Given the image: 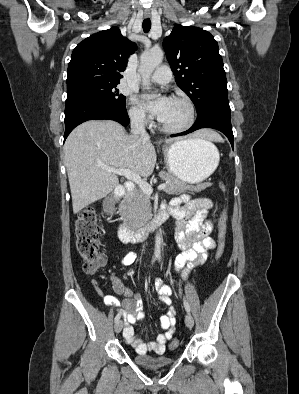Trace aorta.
<instances>
[{
    "label": "aorta",
    "mask_w": 299,
    "mask_h": 394,
    "mask_svg": "<svg viewBox=\"0 0 299 394\" xmlns=\"http://www.w3.org/2000/svg\"><path fill=\"white\" fill-rule=\"evenodd\" d=\"M163 60V51L161 49H153L147 52H144L140 58V67L139 71L142 75L143 81L142 85L146 89H150L149 77L153 73L156 67H158ZM161 244L162 238L160 232H157L155 237V249L154 254H161Z\"/></svg>",
    "instance_id": "obj_1"
}]
</instances>
